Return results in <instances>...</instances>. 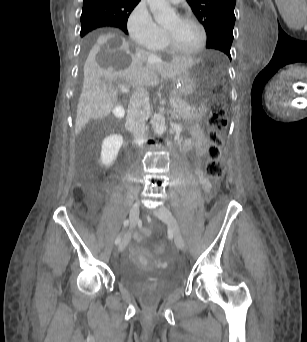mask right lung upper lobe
Masks as SVG:
<instances>
[{
    "instance_id": "1",
    "label": "right lung upper lobe",
    "mask_w": 307,
    "mask_h": 342,
    "mask_svg": "<svg viewBox=\"0 0 307 342\" xmlns=\"http://www.w3.org/2000/svg\"><path fill=\"white\" fill-rule=\"evenodd\" d=\"M140 0H84L83 11H95L107 14L112 22L108 26L127 31V20Z\"/></svg>"
}]
</instances>
